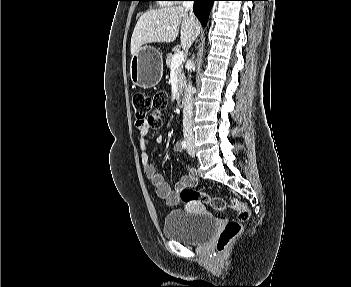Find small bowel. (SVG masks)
Returning a JSON list of instances; mask_svg holds the SVG:
<instances>
[{
  "instance_id": "small-bowel-1",
  "label": "small bowel",
  "mask_w": 351,
  "mask_h": 287,
  "mask_svg": "<svg viewBox=\"0 0 351 287\" xmlns=\"http://www.w3.org/2000/svg\"><path fill=\"white\" fill-rule=\"evenodd\" d=\"M149 125V120H136V126L139 130V151L143 170L148 178L151 180L156 188L157 195L168 205H176L179 202V195L182 189L194 187L198 182V178L194 168L187 164V173L176 183L175 188L172 189L171 186L164 180L162 174L157 170L153 162L149 158V133L151 127ZM163 137L157 136L155 141L157 143L162 142ZM183 149L182 144L177 142L174 146V150L181 152Z\"/></svg>"
}]
</instances>
